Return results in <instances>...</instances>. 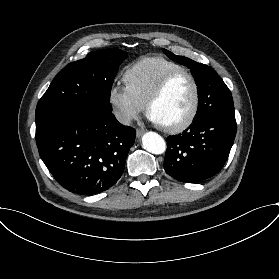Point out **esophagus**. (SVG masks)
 I'll return each instance as SVG.
<instances>
[{
    "mask_svg": "<svg viewBox=\"0 0 279 279\" xmlns=\"http://www.w3.org/2000/svg\"><path fill=\"white\" fill-rule=\"evenodd\" d=\"M145 133V130L143 129H137L136 130V137L140 138Z\"/></svg>",
    "mask_w": 279,
    "mask_h": 279,
    "instance_id": "1",
    "label": "esophagus"
}]
</instances>
